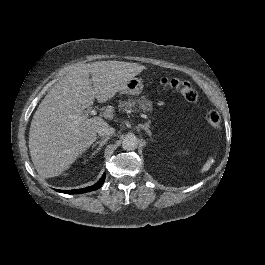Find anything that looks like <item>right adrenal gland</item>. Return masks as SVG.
<instances>
[{"instance_id": "1", "label": "right adrenal gland", "mask_w": 265, "mask_h": 265, "mask_svg": "<svg viewBox=\"0 0 265 265\" xmlns=\"http://www.w3.org/2000/svg\"><path fill=\"white\" fill-rule=\"evenodd\" d=\"M110 139L109 136H106V137H102L101 140L95 142L92 144V149L94 147H96L97 145H99L96 150L92 153L91 156L95 155L96 153H98L100 151V149L107 143V141Z\"/></svg>"}]
</instances>
